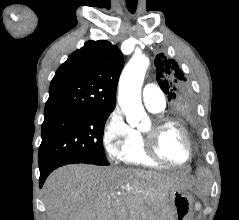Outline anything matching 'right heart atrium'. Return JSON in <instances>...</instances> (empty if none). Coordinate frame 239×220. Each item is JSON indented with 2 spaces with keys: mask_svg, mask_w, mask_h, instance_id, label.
<instances>
[{
  "mask_svg": "<svg viewBox=\"0 0 239 220\" xmlns=\"http://www.w3.org/2000/svg\"><path fill=\"white\" fill-rule=\"evenodd\" d=\"M135 139L134 129L126 122L120 108L115 107L108 114L102 140L108 155L112 159H120L123 150Z\"/></svg>",
  "mask_w": 239,
  "mask_h": 220,
  "instance_id": "right-heart-atrium-1",
  "label": "right heart atrium"
}]
</instances>
